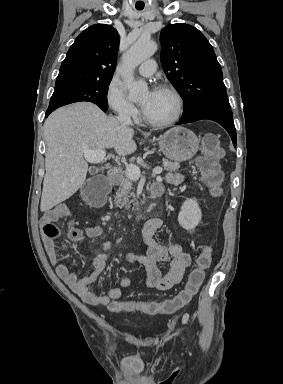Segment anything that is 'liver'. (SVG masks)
Wrapping results in <instances>:
<instances>
[{
	"instance_id": "6515ba94",
	"label": "liver",
	"mask_w": 283,
	"mask_h": 384,
	"mask_svg": "<svg viewBox=\"0 0 283 384\" xmlns=\"http://www.w3.org/2000/svg\"><path fill=\"white\" fill-rule=\"evenodd\" d=\"M134 134L130 126L108 118L91 102H77L50 114L44 124L47 152L41 212H49L68 200L84 184L86 150L114 148L118 156H129L137 148Z\"/></svg>"
}]
</instances>
